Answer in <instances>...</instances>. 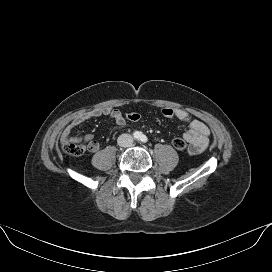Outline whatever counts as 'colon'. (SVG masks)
I'll return each mask as SVG.
<instances>
[{
	"instance_id": "colon-1",
	"label": "colon",
	"mask_w": 272,
	"mask_h": 272,
	"mask_svg": "<svg viewBox=\"0 0 272 272\" xmlns=\"http://www.w3.org/2000/svg\"><path fill=\"white\" fill-rule=\"evenodd\" d=\"M161 114L165 118H173L175 116L174 109L172 108H162ZM141 114L139 112H130L126 114V119L130 122H138L141 119ZM172 145L177 150H184L187 147L186 142L181 138H175L172 141ZM64 151L73 156H79L83 153V148L74 142H69L67 144H64L63 146Z\"/></svg>"
}]
</instances>
